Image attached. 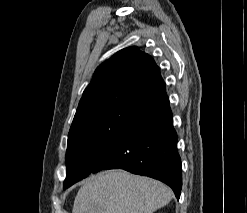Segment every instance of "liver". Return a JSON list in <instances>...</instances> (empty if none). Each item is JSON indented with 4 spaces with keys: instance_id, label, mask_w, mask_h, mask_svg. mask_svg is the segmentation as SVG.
Instances as JSON below:
<instances>
[{
    "instance_id": "1",
    "label": "liver",
    "mask_w": 247,
    "mask_h": 213,
    "mask_svg": "<svg viewBox=\"0 0 247 213\" xmlns=\"http://www.w3.org/2000/svg\"><path fill=\"white\" fill-rule=\"evenodd\" d=\"M171 199V190L160 181L124 170H108L84 182L72 213H153Z\"/></svg>"
}]
</instances>
